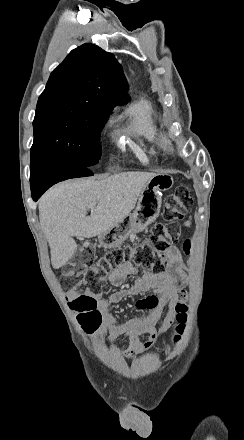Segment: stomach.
Wrapping results in <instances>:
<instances>
[{"label":"stomach","mask_w":244,"mask_h":440,"mask_svg":"<svg viewBox=\"0 0 244 440\" xmlns=\"http://www.w3.org/2000/svg\"><path fill=\"white\" fill-rule=\"evenodd\" d=\"M174 186L171 174H155L146 182L133 214L126 216L122 222L110 230L99 234L98 242L102 248H115L127 240L131 234L143 232L151 222L158 218L161 210L163 192Z\"/></svg>","instance_id":"stomach-1"}]
</instances>
